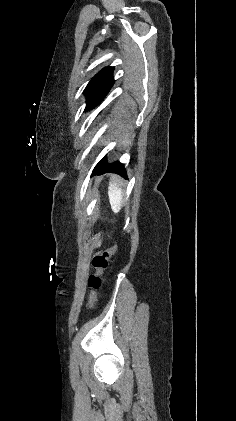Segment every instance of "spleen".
<instances>
[{
    "mask_svg": "<svg viewBox=\"0 0 236 421\" xmlns=\"http://www.w3.org/2000/svg\"><path fill=\"white\" fill-rule=\"evenodd\" d=\"M109 202L113 213H119L123 202V190L116 182H110L108 186Z\"/></svg>",
    "mask_w": 236,
    "mask_h": 421,
    "instance_id": "3e777b00",
    "label": "spleen"
}]
</instances>
